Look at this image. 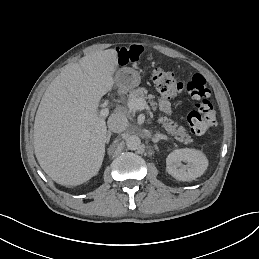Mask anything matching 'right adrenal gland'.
Instances as JSON below:
<instances>
[{"mask_svg":"<svg viewBox=\"0 0 259 259\" xmlns=\"http://www.w3.org/2000/svg\"><path fill=\"white\" fill-rule=\"evenodd\" d=\"M111 136H112V133H111V132H108V133H107V138H106V144H107V145H108L109 142H110Z\"/></svg>","mask_w":259,"mask_h":259,"instance_id":"obj_1","label":"right adrenal gland"}]
</instances>
